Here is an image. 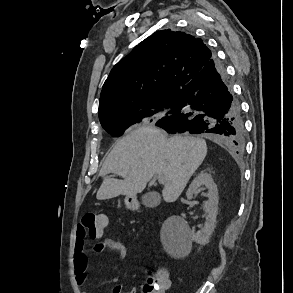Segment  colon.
<instances>
[{
    "label": "colon",
    "mask_w": 293,
    "mask_h": 293,
    "mask_svg": "<svg viewBox=\"0 0 293 293\" xmlns=\"http://www.w3.org/2000/svg\"><path fill=\"white\" fill-rule=\"evenodd\" d=\"M107 225V216L97 213H86L82 217L80 227L85 237L99 239ZM169 276L164 269L156 273L147 272V280L143 287V293H165L168 289Z\"/></svg>",
    "instance_id": "1"
}]
</instances>
